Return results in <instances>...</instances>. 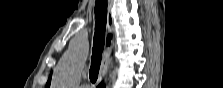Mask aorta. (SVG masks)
Returning <instances> with one entry per match:
<instances>
[{
  "label": "aorta",
  "instance_id": "aorta-1",
  "mask_svg": "<svg viewBox=\"0 0 223 88\" xmlns=\"http://www.w3.org/2000/svg\"><path fill=\"white\" fill-rule=\"evenodd\" d=\"M87 59V48L76 42L60 59L53 76L54 88H75L80 80V73ZM116 72L110 74L113 82Z\"/></svg>",
  "mask_w": 223,
  "mask_h": 88
}]
</instances>
